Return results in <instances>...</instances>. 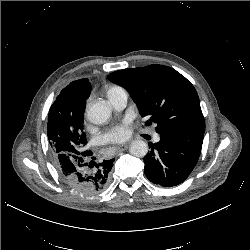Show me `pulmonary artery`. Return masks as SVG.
I'll return each instance as SVG.
<instances>
[{"label": "pulmonary artery", "instance_id": "pulmonary-artery-1", "mask_svg": "<svg viewBox=\"0 0 250 250\" xmlns=\"http://www.w3.org/2000/svg\"><path fill=\"white\" fill-rule=\"evenodd\" d=\"M108 98L111 103V105L116 109V110H121L123 109L128 100V93L126 90L119 88L116 90H113L108 93ZM154 140L157 142L159 141V136L156 135Z\"/></svg>", "mask_w": 250, "mask_h": 250}]
</instances>
